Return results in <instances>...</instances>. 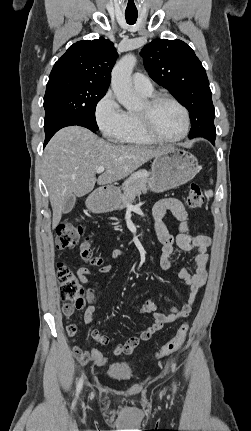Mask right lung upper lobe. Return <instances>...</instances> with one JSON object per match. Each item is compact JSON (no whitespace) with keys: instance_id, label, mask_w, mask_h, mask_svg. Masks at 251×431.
Instances as JSON below:
<instances>
[{"instance_id":"1","label":"right lung upper lobe","mask_w":251,"mask_h":431,"mask_svg":"<svg viewBox=\"0 0 251 431\" xmlns=\"http://www.w3.org/2000/svg\"><path fill=\"white\" fill-rule=\"evenodd\" d=\"M117 56L114 44L103 37L78 41L55 63L49 78L69 76L108 88Z\"/></svg>"}]
</instances>
